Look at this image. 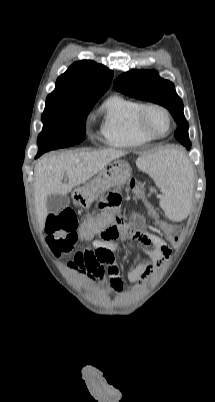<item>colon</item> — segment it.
Here are the masks:
<instances>
[{
	"label": "colon",
	"mask_w": 215,
	"mask_h": 402,
	"mask_svg": "<svg viewBox=\"0 0 215 402\" xmlns=\"http://www.w3.org/2000/svg\"><path fill=\"white\" fill-rule=\"evenodd\" d=\"M130 188L137 194H141L143 184L136 179H131ZM121 203V196L118 192L108 193L102 200L97 203V208L100 211L99 215L84 222L77 232L78 221L75 213L72 210H64L58 214H50L46 220L47 243L55 255L69 252L76 245L79 235L80 241L83 244L88 243L89 239L97 232L104 231L110 227L116 220L117 208ZM154 215V212L150 210ZM186 228L183 223L176 225L162 223L161 231L167 242L172 246H178L182 237H186L187 233H181L180 230ZM80 254L75 255L74 260H79Z\"/></svg>",
	"instance_id": "1"
}]
</instances>
